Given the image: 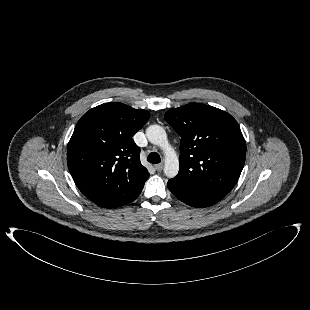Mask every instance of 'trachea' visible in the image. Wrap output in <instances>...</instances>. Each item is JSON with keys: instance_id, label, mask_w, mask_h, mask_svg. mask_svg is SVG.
<instances>
[{"instance_id": "3493384b", "label": "trachea", "mask_w": 310, "mask_h": 310, "mask_svg": "<svg viewBox=\"0 0 310 310\" xmlns=\"http://www.w3.org/2000/svg\"><path fill=\"white\" fill-rule=\"evenodd\" d=\"M147 160L150 162V163H153V164H157V163H160L161 162V158L159 156V154L157 152H151L149 155H148V158Z\"/></svg>"}]
</instances>
